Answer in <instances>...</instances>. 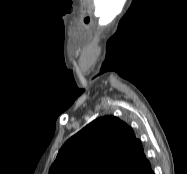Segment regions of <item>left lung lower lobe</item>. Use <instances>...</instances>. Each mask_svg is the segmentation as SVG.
<instances>
[{
	"mask_svg": "<svg viewBox=\"0 0 187 174\" xmlns=\"http://www.w3.org/2000/svg\"><path fill=\"white\" fill-rule=\"evenodd\" d=\"M138 169H136L133 174H138ZM142 174H154V172L151 169V165L149 167H146Z\"/></svg>",
	"mask_w": 187,
	"mask_h": 174,
	"instance_id": "obj_1",
	"label": "left lung lower lobe"
}]
</instances>
